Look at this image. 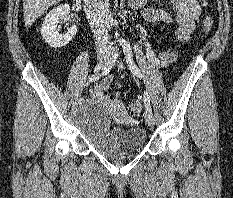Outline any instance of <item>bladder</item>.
Masks as SVG:
<instances>
[{
  "mask_svg": "<svg viewBox=\"0 0 233 198\" xmlns=\"http://www.w3.org/2000/svg\"><path fill=\"white\" fill-rule=\"evenodd\" d=\"M79 127L96 151L111 158L136 154L146 143L141 127L112 128L106 107L98 102L86 104L79 115Z\"/></svg>",
  "mask_w": 233,
  "mask_h": 198,
  "instance_id": "bladder-1",
  "label": "bladder"
}]
</instances>
